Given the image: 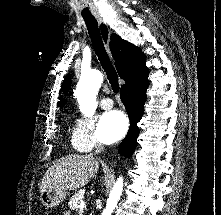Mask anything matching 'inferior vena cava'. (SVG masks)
Returning a JSON list of instances; mask_svg holds the SVG:
<instances>
[{
    "label": "inferior vena cava",
    "instance_id": "inferior-vena-cava-1",
    "mask_svg": "<svg viewBox=\"0 0 221 215\" xmlns=\"http://www.w3.org/2000/svg\"><path fill=\"white\" fill-rule=\"evenodd\" d=\"M104 147L101 144H97L95 147V153L99 154L103 151Z\"/></svg>",
    "mask_w": 221,
    "mask_h": 215
}]
</instances>
